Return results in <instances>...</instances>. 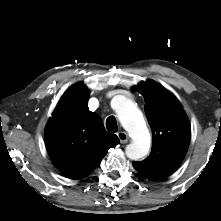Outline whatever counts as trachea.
<instances>
[{"label": "trachea", "instance_id": "3493384b", "mask_svg": "<svg viewBox=\"0 0 221 221\" xmlns=\"http://www.w3.org/2000/svg\"><path fill=\"white\" fill-rule=\"evenodd\" d=\"M106 128L109 132H116L118 130L117 122L114 116H110L106 120Z\"/></svg>", "mask_w": 221, "mask_h": 221}]
</instances>
